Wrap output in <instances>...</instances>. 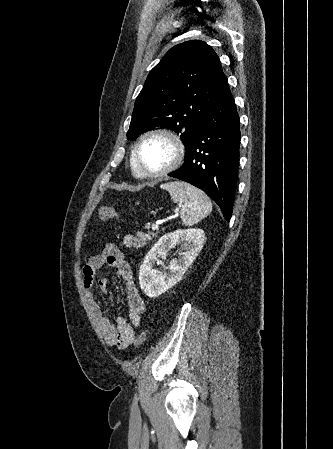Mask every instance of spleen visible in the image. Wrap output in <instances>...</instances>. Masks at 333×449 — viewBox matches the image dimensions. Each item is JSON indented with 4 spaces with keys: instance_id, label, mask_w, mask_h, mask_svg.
<instances>
[{
    "instance_id": "spleen-1",
    "label": "spleen",
    "mask_w": 333,
    "mask_h": 449,
    "mask_svg": "<svg viewBox=\"0 0 333 449\" xmlns=\"http://www.w3.org/2000/svg\"><path fill=\"white\" fill-rule=\"evenodd\" d=\"M166 189L180 207L182 224L192 226L212 211L209 197L199 188L188 183L175 181L161 186Z\"/></svg>"
}]
</instances>
